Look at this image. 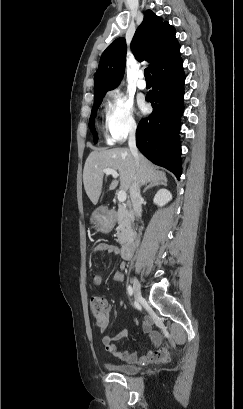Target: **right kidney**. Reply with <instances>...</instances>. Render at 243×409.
<instances>
[{"mask_svg":"<svg viewBox=\"0 0 243 409\" xmlns=\"http://www.w3.org/2000/svg\"><path fill=\"white\" fill-rule=\"evenodd\" d=\"M172 199V194L167 189H160L153 198L154 204L164 206Z\"/></svg>","mask_w":243,"mask_h":409,"instance_id":"obj_1","label":"right kidney"}]
</instances>
